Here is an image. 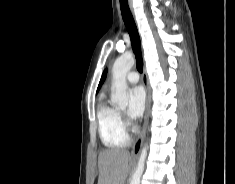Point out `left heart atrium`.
I'll return each instance as SVG.
<instances>
[{
  "mask_svg": "<svg viewBox=\"0 0 235 184\" xmlns=\"http://www.w3.org/2000/svg\"><path fill=\"white\" fill-rule=\"evenodd\" d=\"M146 104L145 92L140 87H135L130 93L129 115L133 120H138L144 113Z\"/></svg>",
  "mask_w": 235,
  "mask_h": 184,
  "instance_id": "left-heart-atrium-1",
  "label": "left heart atrium"
}]
</instances>
